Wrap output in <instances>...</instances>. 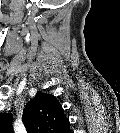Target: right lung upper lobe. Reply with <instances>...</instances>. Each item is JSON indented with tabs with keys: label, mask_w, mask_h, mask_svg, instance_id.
<instances>
[{
	"label": "right lung upper lobe",
	"mask_w": 120,
	"mask_h": 133,
	"mask_svg": "<svg viewBox=\"0 0 120 133\" xmlns=\"http://www.w3.org/2000/svg\"><path fill=\"white\" fill-rule=\"evenodd\" d=\"M35 100V101H34ZM29 105V119L35 125L46 129H63L66 119L56 98L50 95L37 94ZM41 110V111H40Z\"/></svg>",
	"instance_id": "right-lung-upper-lobe-1"
}]
</instances>
